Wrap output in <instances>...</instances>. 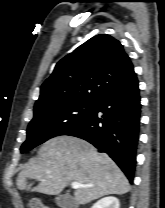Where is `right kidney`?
Masks as SVG:
<instances>
[{"mask_svg":"<svg viewBox=\"0 0 165 208\" xmlns=\"http://www.w3.org/2000/svg\"><path fill=\"white\" fill-rule=\"evenodd\" d=\"M119 200L116 197H105L95 203L92 208H119Z\"/></svg>","mask_w":165,"mask_h":208,"instance_id":"obj_1","label":"right kidney"}]
</instances>
